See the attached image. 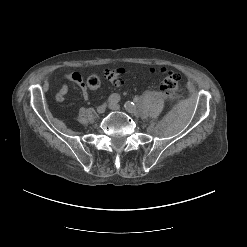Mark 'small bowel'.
<instances>
[{"mask_svg":"<svg viewBox=\"0 0 247 247\" xmlns=\"http://www.w3.org/2000/svg\"><path fill=\"white\" fill-rule=\"evenodd\" d=\"M116 72H117L119 78L114 82V84L120 85L121 84L120 75L124 73V69H122V68L116 69ZM64 77L67 81H70V82L76 84L81 89L82 96L84 99L87 100L89 98V93L87 90L86 83L84 82V79L80 73L71 72V73L65 74ZM68 89L69 88H68L67 83H63L56 94V100L59 102H62L68 93Z\"/></svg>","mask_w":247,"mask_h":247,"instance_id":"obj_1","label":"small bowel"}]
</instances>
